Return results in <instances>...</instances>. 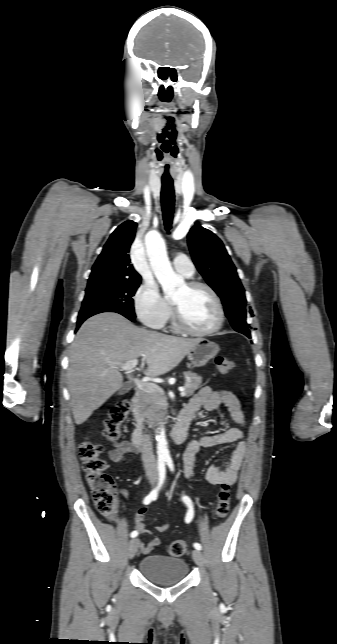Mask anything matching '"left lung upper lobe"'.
I'll use <instances>...</instances> for the list:
<instances>
[{"instance_id": "obj_1", "label": "left lung upper lobe", "mask_w": 337, "mask_h": 644, "mask_svg": "<svg viewBox=\"0 0 337 644\" xmlns=\"http://www.w3.org/2000/svg\"><path fill=\"white\" fill-rule=\"evenodd\" d=\"M188 246L196 268L221 298L233 328L251 338L245 291L222 241L210 230L196 225L188 233Z\"/></svg>"}]
</instances>
